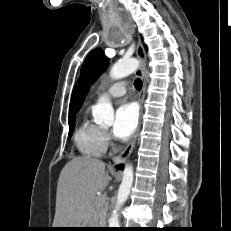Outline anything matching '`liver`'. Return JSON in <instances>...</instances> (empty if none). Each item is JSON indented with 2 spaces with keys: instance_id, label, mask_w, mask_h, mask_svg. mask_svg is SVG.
Returning a JSON list of instances; mask_svg holds the SVG:
<instances>
[{
  "instance_id": "1",
  "label": "liver",
  "mask_w": 231,
  "mask_h": 231,
  "mask_svg": "<svg viewBox=\"0 0 231 231\" xmlns=\"http://www.w3.org/2000/svg\"><path fill=\"white\" fill-rule=\"evenodd\" d=\"M108 183L101 160L89 156L70 160L58 179L53 228H80L90 222L96 193L104 191Z\"/></svg>"
}]
</instances>
